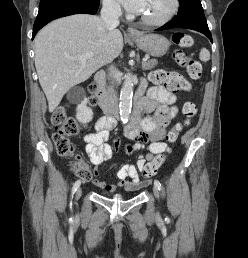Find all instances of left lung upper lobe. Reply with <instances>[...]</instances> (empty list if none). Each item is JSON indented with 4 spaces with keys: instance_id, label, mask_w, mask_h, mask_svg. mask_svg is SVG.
I'll return each instance as SVG.
<instances>
[{
    "instance_id": "5c2ea615",
    "label": "left lung upper lobe",
    "mask_w": 248,
    "mask_h": 258,
    "mask_svg": "<svg viewBox=\"0 0 248 258\" xmlns=\"http://www.w3.org/2000/svg\"><path fill=\"white\" fill-rule=\"evenodd\" d=\"M180 10L176 17H187L194 13L203 12L200 0H179Z\"/></svg>"
}]
</instances>
